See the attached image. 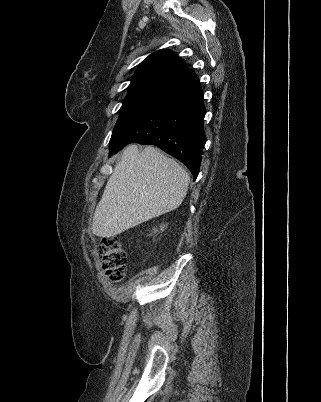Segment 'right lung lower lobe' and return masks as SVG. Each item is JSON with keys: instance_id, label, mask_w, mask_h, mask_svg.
Instances as JSON below:
<instances>
[{"instance_id": "right-lung-lower-lobe-1", "label": "right lung lower lobe", "mask_w": 321, "mask_h": 402, "mask_svg": "<svg viewBox=\"0 0 321 402\" xmlns=\"http://www.w3.org/2000/svg\"><path fill=\"white\" fill-rule=\"evenodd\" d=\"M206 109L196 76L173 87L159 104L110 140V153L129 143L152 144L176 157L197 178L206 142Z\"/></svg>"}]
</instances>
